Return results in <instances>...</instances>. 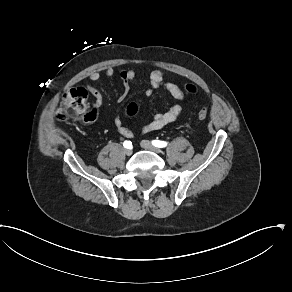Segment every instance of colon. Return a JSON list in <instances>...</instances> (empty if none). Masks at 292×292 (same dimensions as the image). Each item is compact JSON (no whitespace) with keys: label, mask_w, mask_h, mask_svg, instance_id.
I'll list each match as a JSON object with an SVG mask.
<instances>
[{"label":"colon","mask_w":292,"mask_h":292,"mask_svg":"<svg viewBox=\"0 0 292 292\" xmlns=\"http://www.w3.org/2000/svg\"><path fill=\"white\" fill-rule=\"evenodd\" d=\"M181 88L183 92H189L194 95L198 94L200 90L198 85H192L188 82L183 83ZM143 105L144 101L141 99L131 102L126 106L125 114L128 117H133ZM97 113V106H89L87 90L82 87H75L71 88L64 94L63 101L57 109V118L62 122L75 118L87 121L94 118ZM208 114L209 109L206 106H203L198 110V118L200 120L206 119Z\"/></svg>","instance_id":"1"}]
</instances>
